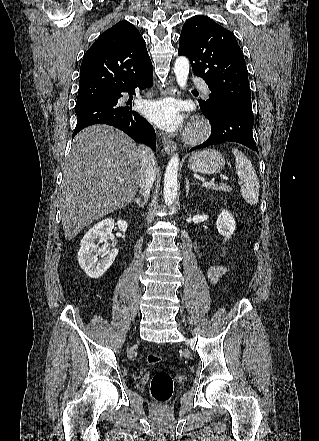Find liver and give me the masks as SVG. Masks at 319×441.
<instances>
[{
  "label": "liver",
  "instance_id": "6515ba94",
  "mask_svg": "<svg viewBox=\"0 0 319 441\" xmlns=\"http://www.w3.org/2000/svg\"><path fill=\"white\" fill-rule=\"evenodd\" d=\"M144 146L108 125H92L73 139L63 164L61 213L67 240L88 224L134 200ZM124 179L123 183L118 181Z\"/></svg>",
  "mask_w": 319,
  "mask_h": 441
}]
</instances>
